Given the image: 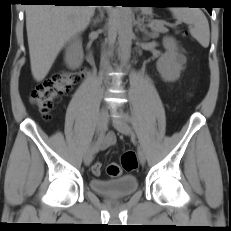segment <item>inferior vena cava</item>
I'll return each mask as SVG.
<instances>
[{"instance_id": "obj_1", "label": "inferior vena cava", "mask_w": 231, "mask_h": 231, "mask_svg": "<svg viewBox=\"0 0 231 231\" xmlns=\"http://www.w3.org/2000/svg\"><path fill=\"white\" fill-rule=\"evenodd\" d=\"M108 63H109L108 62V54L105 51H103L102 55H101V65L103 67H106L108 65Z\"/></svg>"}]
</instances>
